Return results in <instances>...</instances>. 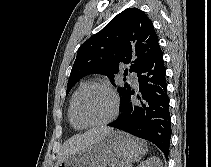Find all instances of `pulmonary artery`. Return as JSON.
I'll use <instances>...</instances> for the list:
<instances>
[{"instance_id":"obj_1","label":"pulmonary artery","mask_w":211,"mask_h":167,"mask_svg":"<svg viewBox=\"0 0 211 167\" xmlns=\"http://www.w3.org/2000/svg\"><path fill=\"white\" fill-rule=\"evenodd\" d=\"M131 80H132V83L134 84V85H137V83H138V80H137V77L136 76H132L131 77Z\"/></svg>"}]
</instances>
